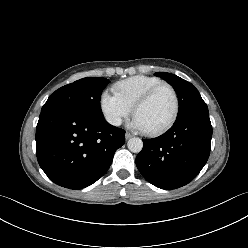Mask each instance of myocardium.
Masks as SVG:
<instances>
[{"mask_svg":"<svg viewBox=\"0 0 248 248\" xmlns=\"http://www.w3.org/2000/svg\"><path fill=\"white\" fill-rule=\"evenodd\" d=\"M164 87L168 88L172 92V95L174 98V110H173V113H172L171 117L169 118V120L165 124H163L162 126L156 128V129H153V130H143L149 136H157V135L164 133L176 121L178 113H179V109H180V100H179V96H178L176 89L174 88V86H172L171 84H169L167 82H161V83L153 86L152 88H150L148 91H146L135 102V104L132 108V112H133V115L135 117L138 109L141 108L143 105H145L158 90H160L161 88H164Z\"/></svg>","mask_w":248,"mask_h":248,"instance_id":"f54148a6","label":"myocardium"}]
</instances>
